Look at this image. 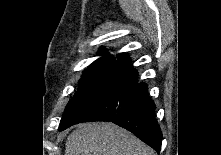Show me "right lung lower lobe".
I'll list each match as a JSON object with an SVG mask.
<instances>
[{
    "label": "right lung lower lobe",
    "mask_w": 221,
    "mask_h": 155,
    "mask_svg": "<svg viewBox=\"0 0 221 155\" xmlns=\"http://www.w3.org/2000/svg\"><path fill=\"white\" fill-rule=\"evenodd\" d=\"M127 56L114 68L94 105L81 122L111 121L135 134L158 153L162 133L154 116L155 104Z\"/></svg>",
    "instance_id": "98d812e1"
}]
</instances>
